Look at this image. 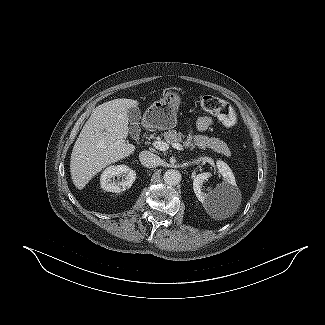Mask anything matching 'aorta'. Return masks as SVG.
Segmentation results:
<instances>
[{
  "instance_id": "obj_1",
  "label": "aorta",
  "mask_w": 325,
  "mask_h": 325,
  "mask_svg": "<svg viewBox=\"0 0 325 325\" xmlns=\"http://www.w3.org/2000/svg\"><path fill=\"white\" fill-rule=\"evenodd\" d=\"M181 173L175 169H169L164 173L163 179L168 185H177L181 182Z\"/></svg>"
}]
</instances>
